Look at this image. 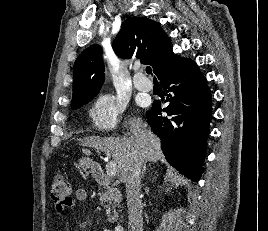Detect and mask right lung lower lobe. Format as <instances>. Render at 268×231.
Listing matches in <instances>:
<instances>
[{"mask_svg":"<svg viewBox=\"0 0 268 231\" xmlns=\"http://www.w3.org/2000/svg\"><path fill=\"white\" fill-rule=\"evenodd\" d=\"M169 98L155 101L146 116L162 140L167 161L185 176L198 181L206 154V140L212 115L211 92L195 62L184 61L159 78ZM169 104L163 109L161 106ZM162 112L166 117L159 116Z\"/></svg>","mask_w":268,"mask_h":231,"instance_id":"right-lung-lower-lobe-1","label":"right lung lower lobe"}]
</instances>
